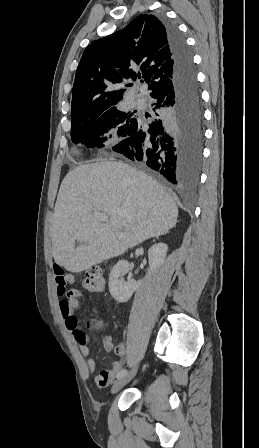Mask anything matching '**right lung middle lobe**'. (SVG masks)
I'll return each mask as SVG.
<instances>
[{
	"label": "right lung middle lobe",
	"instance_id": "obj_1",
	"mask_svg": "<svg viewBox=\"0 0 259 448\" xmlns=\"http://www.w3.org/2000/svg\"><path fill=\"white\" fill-rule=\"evenodd\" d=\"M137 116L125 113L114 106L95 107L71 114V139L87 147H103L107 137H101L109 128H116L117 140L123 135Z\"/></svg>",
	"mask_w": 259,
	"mask_h": 448
}]
</instances>
